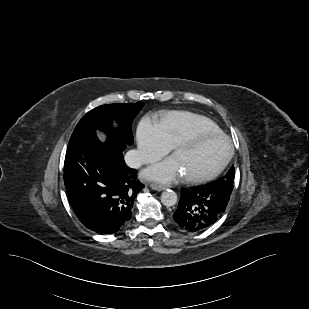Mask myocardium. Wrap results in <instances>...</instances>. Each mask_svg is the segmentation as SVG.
Instances as JSON below:
<instances>
[{"mask_svg": "<svg viewBox=\"0 0 309 309\" xmlns=\"http://www.w3.org/2000/svg\"><path fill=\"white\" fill-rule=\"evenodd\" d=\"M222 138L225 140L227 144V152L224 156L223 160L220 164L211 172L202 174V175H191L186 176L187 181L191 183H204L216 178L222 171L226 168L228 163L230 162L234 148L233 143L228 135L223 132H214V131H207V130H198L190 133L189 135L185 136L184 138L180 139L173 145V152L175 153L178 149L191 145L201 139L204 138Z\"/></svg>", "mask_w": 309, "mask_h": 309, "instance_id": "f54148a6", "label": "myocardium"}]
</instances>
